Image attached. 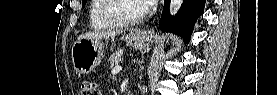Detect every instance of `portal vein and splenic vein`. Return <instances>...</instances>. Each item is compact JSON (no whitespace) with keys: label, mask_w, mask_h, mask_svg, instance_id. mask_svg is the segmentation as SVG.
<instances>
[{"label":"portal vein and splenic vein","mask_w":277,"mask_h":95,"mask_svg":"<svg viewBox=\"0 0 277 95\" xmlns=\"http://www.w3.org/2000/svg\"><path fill=\"white\" fill-rule=\"evenodd\" d=\"M122 70V66H120V65H117V66H115L113 69H112V71H111V73L113 74V75H115V74H117L119 71H121Z\"/></svg>","instance_id":"portal-vein-and-splenic-vein-1"}]
</instances>
